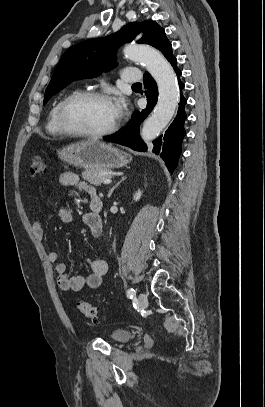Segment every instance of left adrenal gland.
<instances>
[{
  "mask_svg": "<svg viewBox=\"0 0 265 407\" xmlns=\"http://www.w3.org/2000/svg\"><path fill=\"white\" fill-rule=\"evenodd\" d=\"M125 179H126V176H122V177H121V180H120L119 182H117L116 185L113 186V187L109 190L108 198H110V196L112 195V193H113V191L115 190V188H117V187L120 185V183H121L122 181H124Z\"/></svg>",
  "mask_w": 265,
  "mask_h": 407,
  "instance_id": "1",
  "label": "left adrenal gland"
}]
</instances>
